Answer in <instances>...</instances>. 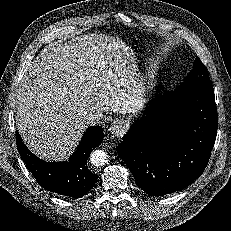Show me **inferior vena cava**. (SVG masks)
<instances>
[{"mask_svg":"<svg viewBox=\"0 0 231 231\" xmlns=\"http://www.w3.org/2000/svg\"><path fill=\"white\" fill-rule=\"evenodd\" d=\"M80 117H81L82 121L87 125H93L100 120L99 114L95 111H89V112L84 111L80 115Z\"/></svg>","mask_w":231,"mask_h":231,"instance_id":"obj_1","label":"inferior vena cava"}]
</instances>
